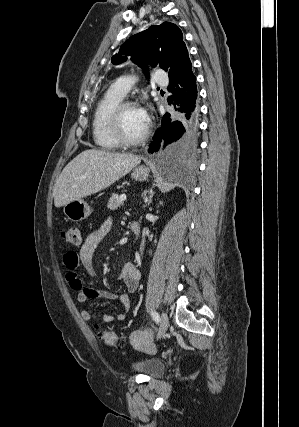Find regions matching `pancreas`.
<instances>
[{
	"label": "pancreas",
	"mask_w": 299,
	"mask_h": 427,
	"mask_svg": "<svg viewBox=\"0 0 299 427\" xmlns=\"http://www.w3.org/2000/svg\"><path fill=\"white\" fill-rule=\"evenodd\" d=\"M123 204L117 194H113L107 204V208L110 210H116Z\"/></svg>",
	"instance_id": "1"
}]
</instances>
